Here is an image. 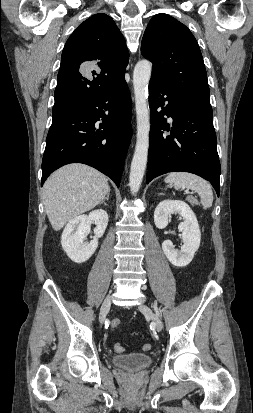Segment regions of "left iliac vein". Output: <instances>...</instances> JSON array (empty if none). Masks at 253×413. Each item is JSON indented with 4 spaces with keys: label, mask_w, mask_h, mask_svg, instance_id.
Returning a JSON list of instances; mask_svg holds the SVG:
<instances>
[{
    "label": "left iliac vein",
    "mask_w": 253,
    "mask_h": 413,
    "mask_svg": "<svg viewBox=\"0 0 253 413\" xmlns=\"http://www.w3.org/2000/svg\"><path fill=\"white\" fill-rule=\"evenodd\" d=\"M138 308H139V310L144 314V315H146L147 317H149L151 320H152V322H153V325L155 326V328L157 329V331H162V329H163V324H162V322H161V319L158 317V315L157 314H155L153 311H152V309H150L147 305H145V304H140L139 306H138Z\"/></svg>",
    "instance_id": "left-iliac-vein-1"
}]
</instances>
